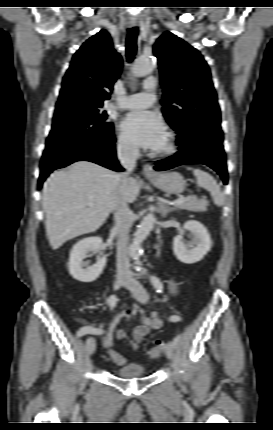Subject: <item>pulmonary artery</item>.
<instances>
[{
	"label": "pulmonary artery",
	"mask_w": 273,
	"mask_h": 430,
	"mask_svg": "<svg viewBox=\"0 0 273 430\" xmlns=\"http://www.w3.org/2000/svg\"><path fill=\"white\" fill-rule=\"evenodd\" d=\"M157 83L154 78L144 82V91L125 97L117 102L116 106L122 109H144L150 107L156 99Z\"/></svg>",
	"instance_id": "1"
}]
</instances>
